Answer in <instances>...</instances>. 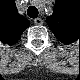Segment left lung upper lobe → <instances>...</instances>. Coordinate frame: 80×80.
I'll list each match as a JSON object with an SVG mask.
<instances>
[{
	"mask_svg": "<svg viewBox=\"0 0 80 80\" xmlns=\"http://www.w3.org/2000/svg\"><path fill=\"white\" fill-rule=\"evenodd\" d=\"M47 23L55 36L64 43L73 42L77 37L75 28H80L69 3L64 0H57L53 15L47 18Z\"/></svg>",
	"mask_w": 80,
	"mask_h": 80,
	"instance_id": "1",
	"label": "left lung upper lobe"
}]
</instances>
